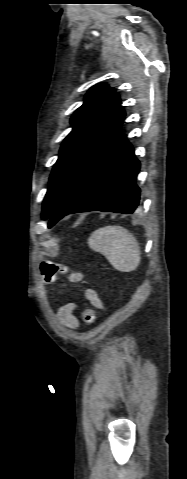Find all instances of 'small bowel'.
<instances>
[{
	"instance_id": "1",
	"label": "small bowel",
	"mask_w": 187,
	"mask_h": 479,
	"mask_svg": "<svg viewBox=\"0 0 187 479\" xmlns=\"http://www.w3.org/2000/svg\"><path fill=\"white\" fill-rule=\"evenodd\" d=\"M81 279L82 275L79 272H74L69 276V280L73 283H77L81 281ZM85 296L94 306L100 309L103 308L102 301L95 290L86 289ZM76 309V303L67 300L63 301L56 311V318L58 322L68 329H77L79 327V322L74 314Z\"/></svg>"
}]
</instances>
